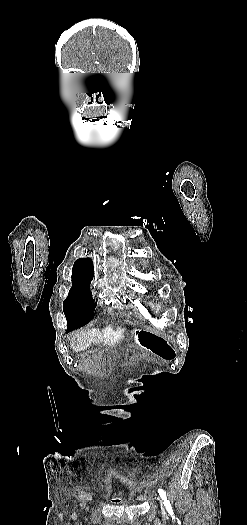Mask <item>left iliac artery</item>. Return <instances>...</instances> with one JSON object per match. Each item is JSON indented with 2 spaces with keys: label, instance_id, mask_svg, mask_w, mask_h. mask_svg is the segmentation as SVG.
I'll use <instances>...</instances> for the list:
<instances>
[{
  "label": "left iliac artery",
  "instance_id": "obj_1",
  "mask_svg": "<svg viewBox=\"0 0 247 525\" xmlns=\"http://www.w3.org/2000/svg\"><path fill=\"white\" fill-rule=\"evenodd\" d=\"M158 493H159L160 497L163 499L164 505L167 508V510L169 512H171L172 511V507H171V504H170L169 500L167 499L165 491L160 488V489H158Z\"/></svg>",
  "mask_w": 247,
  "mask_h": 525
}]
</instances>
